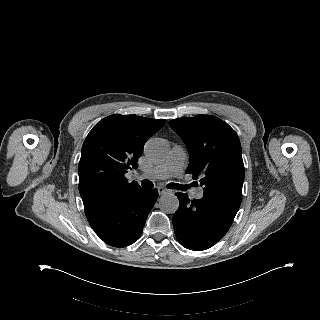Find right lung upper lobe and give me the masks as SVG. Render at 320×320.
<instances>
[{
    "mask_svg": "<svg viewBox=\"0 0 320 320\" xmlns=\"http://www.w3.org/2000/svg\"><path fill=\"white\" fill-rule=\"evenodd\" d=\"M165 120L136 115H111L88 134L78 165L79 192L85 213L102 208L141 188L125 173L137 168L145 142Z\"/></svg>",
    "mask_w": 320,
    "mask_h": 320,
    "instance_id": "1",
    "label": "right lung upper lobe"
}]
</instances>
